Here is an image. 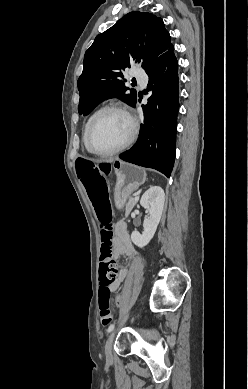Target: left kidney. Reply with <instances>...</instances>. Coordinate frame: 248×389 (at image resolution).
<instances>
[{
	"label": "left kidney",
	"instance_id": "1",
	"mask_svg": "<svg viewBox=\"0 0 248 389\" xmlns=\"http://www.w3.org/2000/svg\"><path fill=\"white\" fill-rule=\"evenodd\" d=\"M164 200V190L159 186L150 187L141 197L140 204L148 212V217L143 222V233L133 231L131 234V240L136 246L142 248L153 238L161 219Z\"/></svg>",
	"mask_w": 248,
	"mask_h": 389
}]
</instances>
